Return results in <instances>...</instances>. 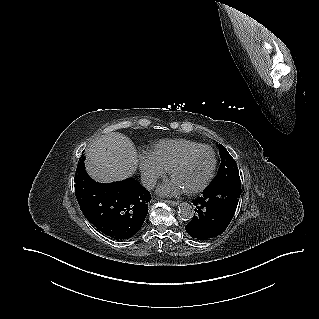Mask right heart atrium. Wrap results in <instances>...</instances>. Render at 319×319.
Masks as SVG:
<instances>
[{"label":"right heart atrium","mask_w":319,"mask_h":319,"mask_svg":"<svg viewBox=\"0 0 319 319\" xmlns=\"http://www.w3.org/2000/svg\"><path fill=\"white\" fill-rule=\"evenodd\" d=\"M139 169L144 185L149 188L166 174V170L158 165L149 153L139 155Z\"/></svg>","instance_id":"1"}]
</instances>
